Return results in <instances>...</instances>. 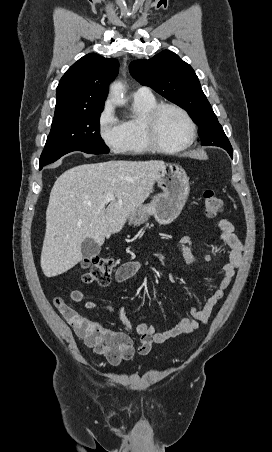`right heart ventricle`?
<instances>
[{
	"instance_id": "right-heart-ventricle-1",
	"label": "right heart ventricle",
	"mask_w": 272,
	"mask_h": 452,
	"mask_svg": "<svg viewBox=\"0 0 272 452\" xmlns=\"http://www.w3.org/2000/svg\"><path fill=\"white\" fill-rule=\"evenodd\" d=\"M157 105L153 95L133 96V113L121 122L124 133L122 152L142 154L152 150L144 135V122L147 114Z\"/></svg>"
}]
</instances>
